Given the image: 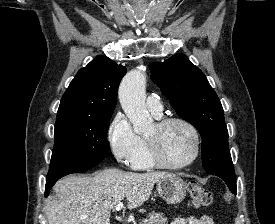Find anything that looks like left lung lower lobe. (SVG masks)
I'll return each mask as SVG.
<instances>
[{
    "label": "left lung lower lobe",
    "mask_w": 275,
    "mask_h": 224,
    "mask_svg": "<svg viewBox=\"0 0 275 224\" xmlns=\"http://www.w3.org/2000/svg\"><path fill=\"white\" fill-rule=\"evenodd\" d=\"M225 183L228 185L229 189L233 192L236 193V182L234 178L228 177L227 179H223Z\"/></svg>",
    "instance_id": "left-lung-lower-lobe-1"
}]
</instances>
